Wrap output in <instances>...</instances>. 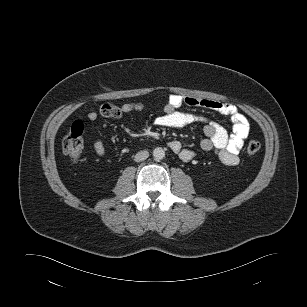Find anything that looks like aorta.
I'll return each instance as SVG.
<instances>
[{
  "instance_id": "762f6f07",
  "label": "aorta",
  "mask_w": 307,
  "mask_h": 307,
  "mask_svg": "<svg viewBox=\"0 0 307 307\" xmlns=\"http://www.w3.org/2000/svg\"><path fill=\"white\" fill-rule=\"evenodd\" d=\"M153 157L156 160H161L165 157V151L161 147H157L153 150Z\"/></svg>"
}]
</instances>
